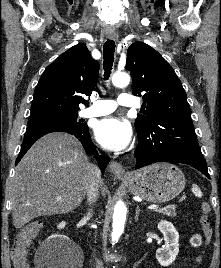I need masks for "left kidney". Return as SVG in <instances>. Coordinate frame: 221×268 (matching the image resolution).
<instances>
[{
	"label": "left kidney",
	"instance_id": "obj_1",
	"mask_svg": "<svg viewBox=\"0 0 221 268\" xmlns=\"http://www.w3.org/2000/svg\"><path fill=\"white\" fill-rule=\"evenodd\" d=\"M158 229L164 237L165 245L156 250V259L161 266L171 265L179 253V233L171 222L161 221Z\"/></svg>",
	"mask_w": 221,
	"mask_h": 268
}]
</instances>
